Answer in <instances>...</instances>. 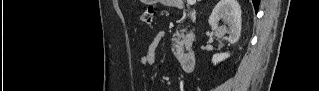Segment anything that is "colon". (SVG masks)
Wrapping results in <instances>:
<instances>
[{
    "instance_id": "obj_1",
    "label": "colon",
    "mask_w": 319,
    "mask_h": 91,
    "mask_svg": "<svg viewBox=\"0 0 319 91\" xmlns=\"http://www.w3.org/2000/svg\"><path fill=\"white\" fill-rule=\"evenodd\" d=\"M154 11V7H147L140 15L141 22L146 25H151L153 22Z\"/></svg>"
}]
</instances>
